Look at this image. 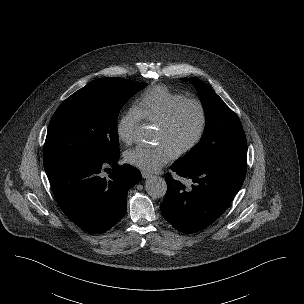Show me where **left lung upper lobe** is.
I'll use <instances>...</instances> for the list:
<instances>
[{"label": "left lung upper lobe", "instance_id": "1", "mask_svg": "<svg viewBox=\"0 0 304 304\" xmlns=\"http://www.w3.org/2000/svg\"><path fill=\"white\" fill-rule=\"evenodd\" d=\"M190 81L204 107L206 127L201 142L177 162L195 169L226 161L246 163L247 141L235 113L201 80Z\"/></svg>", "mask_w": 304, "mask_h": 304}]
</instances>
